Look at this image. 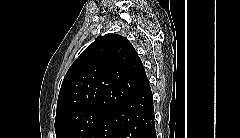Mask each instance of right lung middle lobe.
Returning <instances> with one entry per match:
<instances>
[{"label":"right lung middle lobe","mask_w":240,"mask_h":138,"mask_svg":"<svg viewBox=\"0 0 240 138\" xmlns=\"http://www.w3.org/2000/svg\"><path fill=\"white\" fill-rule=\"evenodd\" d=\"M106 112L101 109H86L56 119V138H86Z\"/></svg>","instance_id":"dd1d6c3e"}]
</instances>
